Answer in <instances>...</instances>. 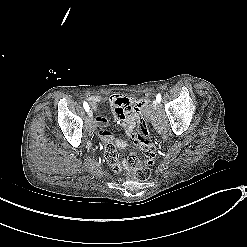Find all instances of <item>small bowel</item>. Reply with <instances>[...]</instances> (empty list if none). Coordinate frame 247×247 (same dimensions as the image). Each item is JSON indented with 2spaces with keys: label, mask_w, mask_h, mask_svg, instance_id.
<instances>
[{
  "label": "small bowel",
  "mask_w": 247,
  "mask_h": 247,
  "mask_svg": "<svg viewBox=\"0 0 247 247\" xmlns=\"http://www.w3.org/2000/svg\"><path fill=\"white\" fill-rule=\"evenodd\" d=\"M109 100L116 121L122 126L125 133L130 135L135 127L134 119L122 113V107L125 112L131 113L132 116L137 117L141 113V108L148 104V100H135L133 98H125L119 95H112L108 98L104 96H91L87 98L88 103L95 107L98 104L104 103ZM94 123L98 125L95 128L94 133L98 138H103L110 144L106 146V157L110 165V169L113 172H118L122 168V163L118 158L115 146L120 144L121 147H126L127 143H120V139L114 131L110 129H105L107 127L108 121L101 115H96L94 117Z\"/></svg>",
  "instance_id": "obj_1"
}]
</instances>
